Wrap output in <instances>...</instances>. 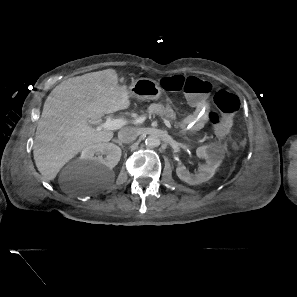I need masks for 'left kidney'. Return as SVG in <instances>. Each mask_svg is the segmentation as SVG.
I'll list each match as a JSON object with an SVG mask.
<instances>
[{
  "mask_svg": "<svg viewBox=\"0 0 297 297\" xmlns=\"http://www.w3.org/2000/svg\"><path fill=\"white\" fill-rule=\"evenodd\" d=\"M196 155L199 158L205 159L206 164L198 168L197 173L192 174L183 165L176 167V174L180 180L189 185H198L208 181L215 174L216 169L221 164L222 158L212 146H201L196 150Z\"/></svg>",
  "mask_w": 297,
  "mask_h": 297,
  "instance_id": "1",
  "label": "left kidney"
}]
</instances>
